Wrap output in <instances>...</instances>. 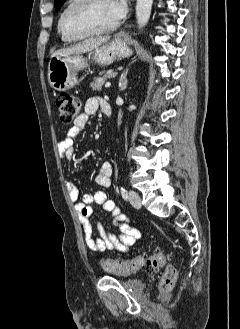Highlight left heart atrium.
Listing matches in <instances>:
<instances>
[{
  "label": "left heart atrium",
  "instance_id": "39dd6f15",
  "mask_svg": "<svg viewBox=\"0 0 240 329\" xmlns=\"http://www.w3.org/2000/svg\"><path fill=\"white\" fill-rule=\"evenodd\" d=\"M109 5L111 12L117 21L125 16L127 11L125 0H109Z\"/></svg>",
  "mask_w": 240,
  "mask_h": 329
}]
</instances>
